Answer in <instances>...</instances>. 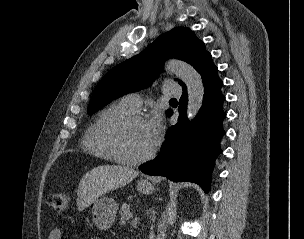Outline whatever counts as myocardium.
Wrapping results in <instances>:
<instances>
[{"label":"myocardium","mask_w":304,"mask_h":239,"mask_svg":"<svg viewBox=\"0 0 304 239\" xmlns=\"http://www.w3.org/2000/svg\"><path fill=\"white\" fill-rule=\"evenodd\" d=\"M136 122H145L144 116L138 113L125 115L115 121L108 129L107 139L116 162L126 165H138L148 161L154 155L156 143L152 145L148 152L139 157H127L122 153L120 147L122 133L127 127Z\"/></svg>","instance_id":"f54148a6"}]
</instances>
